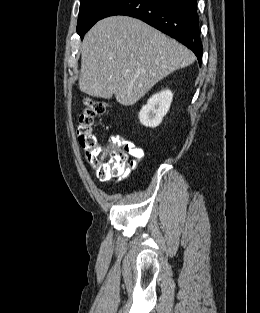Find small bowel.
<instances>
[{"instance_id":"obj_1","label":"small bowel","mask_w":260,"mask_h":313,"mask_svg":"<svg viewBox=\"0 0 260 313\" xmlns=\"http://www.w3.org/2000/svg\"><path fill=\"white\" fill-rule=\"evenodd\" d=\"M131 153L135 157L136 160L142 159V157H143V151L140 148H135L133 146ZM135 163H136V161H135Z\"/></svg>"}]
</instances>
